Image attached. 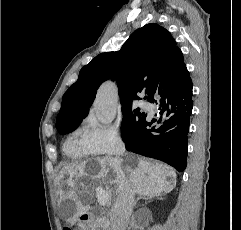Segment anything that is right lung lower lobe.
Instances as JSON below:
<instances>
[{
    "label": "right lung lower lobe",
    "instance_id": "1",
    "mask_svg": "<svg viewBox=\"0 0 241 230\" xmlns=\"http://www.w3.org/2000/svg\"><path fill=\"white\" fill-rule=\"evenodd\" d=\"M192 88L184 63L167 74L148 99L151 103L160 104V118L150 119L146 114V118L124 141L126 149L159 159L183 171L186 168L189 123L193 109Z\"/></svg>",
    "mask_w": 241,
    "mask_h": 230
}]
</instances>
